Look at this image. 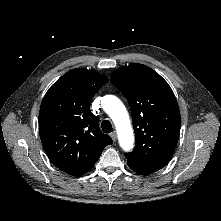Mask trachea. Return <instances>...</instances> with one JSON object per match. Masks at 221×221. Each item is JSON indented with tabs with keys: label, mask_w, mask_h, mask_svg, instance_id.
Listing matches in <instances>:
<instances>
[{
	"label": "trachea",
	"mask_w": 221,
	"mask_h": 221,
	"mask_svg": "<svg viewBox=\"0 0 221 221\" xmlns=\"http://www.w3.org/2000/svg\"><path fill=\"white\" fill-rule=\"evenodd\" d=\"M101 128H102V131L105 132V133H110V132L113 131L112 124L109 120H104L101 123Z\"/></svg>",
	"instance_id": "3493384b"
}]
</instances>
